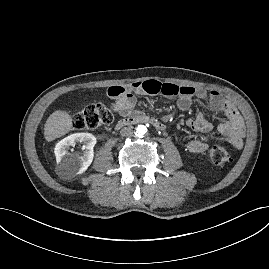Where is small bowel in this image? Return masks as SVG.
<instances>
[{"label": "small bowel", "instance_id": "small-bowel-1", "mask_svg": "<svg viewBox=\"0 0 269 269\" xmlns=\"http://www.w3.org/2000/svg\"><path fill=\"white\" fill-rule=\"evenodd\" d=\"M108 95L115 99L114 109L124 117L134 115L136 108V94L162 93L168 98L178 99V108L186 111L194 98L208 100L210 110L214 113H222L226 120L218 129L226 141L234 148H240L244 138V122L237 109L225 100L217 91L207 92L202 87L178 86L170 83H161L156 80L137 81L128 86H113L107 91ZM187 125L195 132L208 133L212 130V122L199 113L195 118L189 119ZM187 149L192 153H202L208 149V145L200 140H190Z\"/></svg>", "mask_w": 269, "mask_h": 269}]
</instances>
